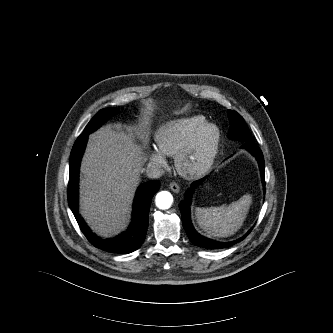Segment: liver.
<instances>
[{
  "instance_id": "liver-1",
  "label": "liver",
  "mask_w": 333,
  "mask_h": 333,
  "mask_svg": "<svg viewBox=\"0 0 333 333\" xmlns=\"http://www.w3.org/2000/svg\"><path fill=\"white\" fill-rule=\"evenodd\" d=\"M136 127L105 126L91 134L81 165V214L91 229L109 237L129 219L145 156Z\"/></svg>"
}]
</instances>
